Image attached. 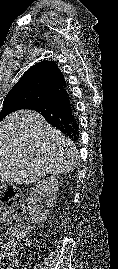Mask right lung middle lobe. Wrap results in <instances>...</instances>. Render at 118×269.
Listing matches in <instances>:
<instances>
[{
	"label": "right lung middle lobe",
	"mask_w": 118,
	"mask_h": 269,
	"mask_svg": "<svg viewBox=\"0 0 118 269\" xmlns=\"http://www.w3.org/2000/svg\"><path fill=\"white\" fill-rule=\"evenodd\" d=\"M23 98L24 96L21 94L7 95L4 99L3 108L0 112V121L8 114L16 110L24 109L25 101Z\"/></svg>",
	"instance_id": "1"
}]
</instances>
